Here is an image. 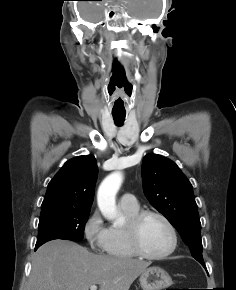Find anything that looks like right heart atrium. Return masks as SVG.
<instances>
[{
	"mask_svg": "<svg viewBox=\"0 0 236 290\" xmlns=\"http://www.w3.org/2000/svg\"><path fill=\"white\" fill-rule=\"evenodd\" d=\"M83 233L92 250L96 252L104 250L108 239V228L99 211L95 210L88 216L83 226Z\"/></svg>",
	"mask_w": 236,
	"mask_h": 290,
	"instance_id": "d8ad5b80",
	"label": "right heart atrium"
}]
</instances>
